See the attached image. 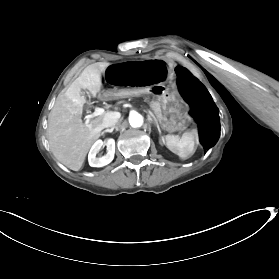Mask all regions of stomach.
<instances>
[{"mask_svg": "<svg viewBox=\"0 0 279 279\" xmlns=\"http://www.w3.org/2000/svg\"><path fill=\"white\" fill-rule=\"evenodd\" d=\"M150 106L162 128L168 132L181 130L189 119V108L182 97H172L161 102L153 100Z\"/></svg>", "mask_w": 279, "mask_h": 279, "instance_id": "stomach-1", "label": "stomach"}]
</instances>
